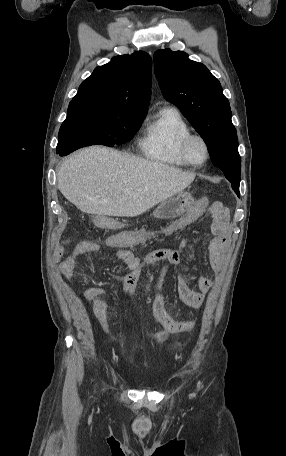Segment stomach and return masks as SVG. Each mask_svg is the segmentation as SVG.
Listing matches in <instances>:
<instances>
[{"label": "stomach", "mask_w": 286, "mask_h": 456, "mask_svg": "<svg viewBox=\"0 0 286 456\" xmlns=\"http://www.w3.org/2000/svg\"><path fill=\"white\" fill-rule=\"evenodd\" d=\"M190 193L179 192L166 200L154 210L153 216L160 219H172L183 215L193 204Z\"/></svg>", "instance_id": "0dacf381"}]
</instances>
